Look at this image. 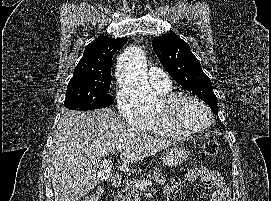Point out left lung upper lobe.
<instances>
[{"label":"left lung upper lobe","mask_w":271,"mask_h":201,"mask_svg":"<svg viewBox=\"0 0 271 201\" xmlns=\"http://www.w3.org/2000/svg\"><path fill=\"white\" fill-rule=\"evenodd\" d=\"M152 47L170 76L186 90L197 95L217 114V98L212 83L202 71L190 46L178 35L170 33L155 38Z\"/></svg>","instance_id":"left-lung-upper-lobe-1"}]
</instances>
